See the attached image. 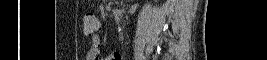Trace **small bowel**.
<instances>
[{"mask_svg": "<svg viewBox=\"0 0 267 60\" xmlns=\"http://www.w3.org/2000/svg\"><path fill=\"white\" fill-rule=\"evenodd\" d=\"M101 52V39L98 33L91 36V45L86 54V60H98L99 54ZM122 56L119 52H112L107 57L106 60H121Z\"/></svg>", "mask_w": 267, "mask_h": 60, "instance_id": "obj_1", "label": "small bowel"}]
</instances>
